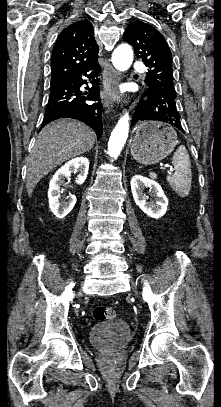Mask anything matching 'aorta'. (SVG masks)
I'll list each match as a JSON object with an SVG mask.
<instances>
[{
    "label": "aorta",
    "mask_w": 221,
    "mask_h": 407,
    "mask_svg": "<svg viewBox=\"0 0 221 407\" xmlns=\"http://www.w3.org/2000/svg\"><path fill=\"white\" fill-rule=\"evenodd\" d=\"M133 62V51L130 45H119L112 54V63L119 71H126ZM129 133V114L123 115L111 133L108 142V154L117 158L124 147Z\"/></svg>",
    "instance_id": "obj_1"
}]
</instances>
